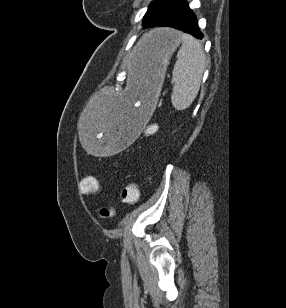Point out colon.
Masks as SVG:
<instances>
[{
	"instance_id": "1",
	"label": "colon",
	"mask_w": 286,
	"mask_h": 308,
	"mask_svg": "<svg viewBox=\"0 0 286 308\" xmlns=\"http://www.w3.org/2000/svg\"><path fill=\"white\" fill-rule=\"evenodd\" d=\"M155 126L150 125L147 129V133H151ZM100 188V183L93 177H85L80 181V190L83 193H94ZM139 198V186L136 182H130L123 187L122 199L124 202L134 204ZM115 214L114 208H103L100 211V215L104 218L111 217Z\"/></svg>"
}]
</instances>
